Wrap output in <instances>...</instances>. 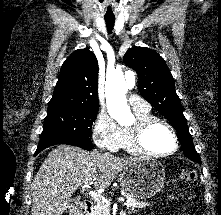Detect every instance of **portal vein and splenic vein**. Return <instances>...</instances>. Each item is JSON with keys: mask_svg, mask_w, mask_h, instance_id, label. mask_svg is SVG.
<instances>
[{"mask_svg": "<svg viewBox=\"0 0 221 215\" xmlns=\"http://www.w3.org/2000/svg\"><path fill=\"white\" fill-rule=\"evenodd\" d=\"M87 187H88V185H84V186L82 187V189L84 190V189L87 188ZM89 195H90L92 198H94V199L97 201V203H99V202L102 201V202H105L106 204H109L108 200L105 199V197H103L102 195L98 194V193L95 192V191H90V192H89ZM118 201H119V202H124L125 199H124L123 197H120V198H118Z\"/></svg>", "mask_w": 221, "mask_h": 215, "instance_id": "18ae733b", "label": "portal vein and splenic vein"}]
</instances>
